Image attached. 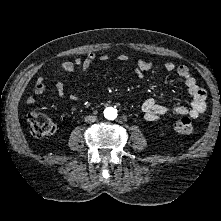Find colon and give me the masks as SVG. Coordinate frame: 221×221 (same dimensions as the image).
<instances>
[{"label": "colon", "mask_w": 221, "mask_h": 221, "mask_svg": "<svg viewBox=\"0 0 221 221\" xmlns=\"http://www.w3.org/2000/svg\"><path fill=\"white\" fill-rule=\"evenodd\" d=\"M28 122L31 132L36 137L49 136L55 132L54 121L41 112H31L28 115ZM174 129L180 134H189L192 131V122L189 118L178 119L174 123Z\"/></svg>", "instance_id": "obj_1"}]
</instances>
